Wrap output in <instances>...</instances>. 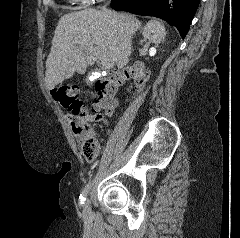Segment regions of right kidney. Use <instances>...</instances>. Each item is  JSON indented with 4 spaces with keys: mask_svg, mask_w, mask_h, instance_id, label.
Instances as JSON below:
<instances>
[{
    "mask_svg": "<svg viewBox=\"0 0 240 238\" xmlns=\"http://www.w3.org/2000/svg\"><path fill=\"white\" fill-rule=\"evenodd\" d=\"M166 37V31L163 24L156 20L149 21L143 30V40H141V43L144 40H149L150 42L154 44H159L161 42H164ZM152 51H156L154 48Z\"/></svg>",
    "mask_w": 240,
    "mask_h": 238,
    "instance_id": "right-kidney-1",
    "label": "right kidney"
}]
</instances>
